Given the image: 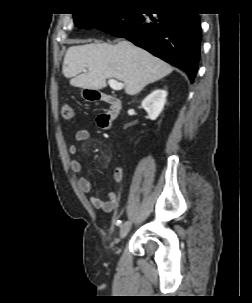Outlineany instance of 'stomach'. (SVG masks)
<instances>
[{"label": "stomach", "instance_id": "0dacf381", "mask_svg": "<svg viewBox=\"0 0 252 303\" xmlns=\"http://www.w3.org/2000/svg\"><path fill=\"white\" fill-rule=\"evenodd\" d=\"M87 89H84L83 91H82V95L84 96L85 94H84V92L86 91Z\"/></svg>", "mask_w": 252, "mask_h": 303}]
</instances>
